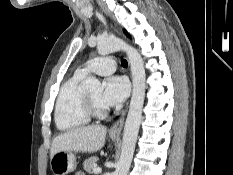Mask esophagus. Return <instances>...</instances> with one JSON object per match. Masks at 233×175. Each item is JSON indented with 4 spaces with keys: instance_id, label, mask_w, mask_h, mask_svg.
<instances>
[{
    "instance_id": "1",
    "label": "esophagus",
    "mask_w": 233,
    "mask_h": 175,
    "mask_svg": "<svg viewBox=\"0 0 233 175\" xmlns=\"http://www.w3.org/2000/svg\"><path fill=\"white\" fill-rule=\"evenodd\" d=\"M128 104L127 103L124 107V109L122 110L119 118L117 119V121L113 124V126L110 128L109 133L111 135H120L122 129H123V125H124V120H125V116L128 110Z\"/></svg>"
}]
</instances>
